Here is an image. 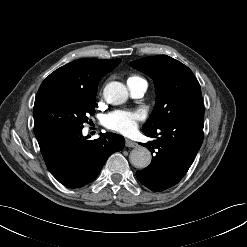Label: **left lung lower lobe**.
I'll use <instances>...</instances> for the list:
<instances>
[{
    "mask_svg": "<svg viewBox=\"0 0 247 247\" xmlns=\"http://www.w3.org/2000/svg\"><path fill=\"white\" fill-rule=\"evenodd\" d=\"M203 120L177 119L153 132L156 140L141 144L154 153L148 167L136 172L137 179L153 191L177 184L187 173L203 141Z\"/></svg>",
    "mask_w": 247,
    "mask_h": 247,
    "instance_id": "0a47b994",
    "label": "left lung lower lobe"
}]
</instances>
